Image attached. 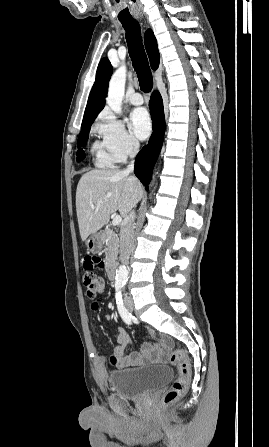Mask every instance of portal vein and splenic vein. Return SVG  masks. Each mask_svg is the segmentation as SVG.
Returning <instances> with one entry per match:
<instances>
[{
  "instance_id": "1",
  "label": "portal vein and splenic vein",
  "mask_w": 269,
  "mask_h": 447,
  "mask_svg": "<svg viewBox=\"0 0 269 447\" xmlns=\"http://www.w3.org/2000/svg\"><path fill=\"white\" fill-rule=\"evenodd\" d=\"M120 222H122L121 216H115V218H113V220H112L113 225H119Z\"/></svg>"
}]
</instances>
